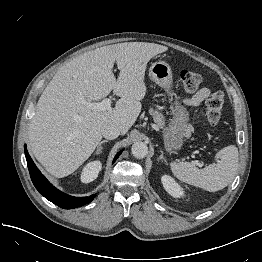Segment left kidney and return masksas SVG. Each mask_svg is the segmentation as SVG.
<instances>
[{
    "label": "left kidney",
    "instance_id": "obj_1",
    "mask_svg": "<svg viewBox=\"0 0 262 262\" xmlns=\"http://www.w3.org/2000/svg\"><path fill=\"white\" fill-rule=\"evenodd\" d=\"M162 184L165 190L173 197L183 196V190L180 186L174 181V179L169 175H163L161 178Z\"/></svg>",
    "mask_w": 262,
    "mask_h": 262
}]
</instances>
